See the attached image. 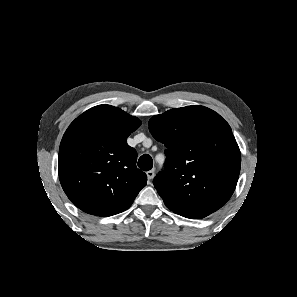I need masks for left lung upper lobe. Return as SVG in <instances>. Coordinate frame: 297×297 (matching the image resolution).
<instances>
[{
  "label": "left lung upper lobe",
  "instance_id": "obj_1",
  "mask_svg": "<svg viewBox=\"0 0 297 297\" xmlns=\"http://www.w3.org/2000/svg\"><path fill=\"white\" fill-rule=\"evenodd\" d=\"M153 137L166 146V171L154 186L174 213L200 219L233 194L241 153L229 124L203 106L168 110L149 121Z\"/></svg>",
  "mask_w": 297,
  "mask_h": 297
}]
</instances>
